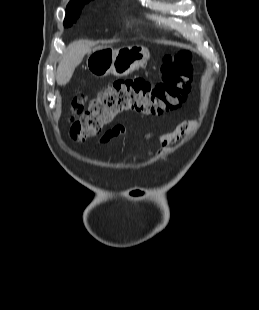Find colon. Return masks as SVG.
<instances>
[{"label":"colon","instance_id":"colon-1","mask_svg":"<svg viewBox=\"0 0 259 310\" xmlns=\"http://www.w3.org/2000/svg\"><path fill=\"white\" fill-rule=\"evenodd\" d=\"M190 60L188 51L167 54L162 59L159 83L152 84L143 78L117 80L99 92L86 108L85 97L77 95L71 103V137L77 142L95 137L128 111L155 116L177 108L190 90Z\"/></svg>","mask_w":259,"mask_h":310}]
</instances>
